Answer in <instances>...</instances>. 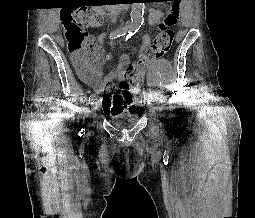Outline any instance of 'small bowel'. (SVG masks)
<instances>
[{
    "mask_svg": "<svg viewBox=\"0 0 255 218\" xmlns=\"http://www.w3.org/2000/svg\"><path fill=\"white\" fill-rule=\"evenodd\" d=\"M178 8H179V3H178ZM172 10H173V8L171 6L168 9V14L171 13ZM164 16H165V11L163 8H155V7L150 8L149 9V23H150V25L158 26L161 23ZM105 36H106L105 33H102L101 35H99V37L97 38V41H96L95 51L90 56V58L88 60H86V65H87L90 73L92 74V76L94 77V79L97 82V85L94 87H95L96 91L99 94H101L99 101L102 104V106H103V100H104V95H105V88H104L105 83L112 81L115 78H118L120 82L125 81V77H126L128 71H130V68H131V71L135 70L136 64L143 57L144 51L146 50V48L149 45V38L145 37V39L143 41V45H142V50L139 55V60L136 63H134L133 65L130 66L129 58L127 56H122L120 58L118 68L116 70L110 72L109 74H107L104 77V79H101V74L98 69V65L108 61L111 58V56L109 54H106L101 50V46L104 43ZM103 109H104V107H103ZM104 111H105V109H104Z\"/></svg>",
    "mask_w": 255,
    "mask_h": 218,
    "instance_id": "small-bowel-1",
    "label": "small bowel"
}]
</instances>
